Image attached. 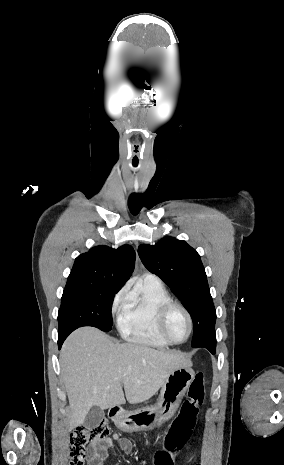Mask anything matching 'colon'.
Returning <instances> with one entry per match:
<instances>
[{
  "label": "colon",
  "mask_w": 284,
  "mask_h": 465,
  "mask_svg": "<svg viewBox=\"0 0 284 465\" xmlns=\"http://www.w3.org/2000/svg\"><path fill=\"white\" fill-rule=\"evenodd\" d=\"M205 401L204 375L195 373L192 376L191 383L188 388V399L183 403V411L178 413L177 420L173 421L172 425L166 430L167 438H191L192 431L195 430V415L198 407ZM108 438V427L106 424L98 422L76 430L70 436V462L69 465L84 464V450L94 442ZM164 446L167 451L173 448H187V439H166ZM158 458L156 465H174L175 463L167 458L165 451H160L156 454ZM200 465V464H199Z\"/></svg>",
  "instance_id": "obj_1"
}]
</instances>
